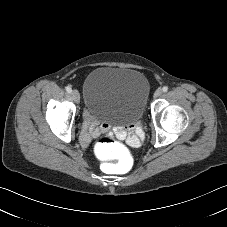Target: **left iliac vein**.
<instances>
[{"label": "left iliac vein", "instance_id": "obj_1", "mask_svg": "<svg viewBox=\"0 0 227 227\" xmlns=\"http://www.w3.org/2000/svg\"><path fill=\"white\" fill-rule=\"evenodd\" d=\"M162 95V89H157L154 93V97L155 98H158Z\"/></svg>", "mask_w": 227, "mask_h": 227}]
</instances>
